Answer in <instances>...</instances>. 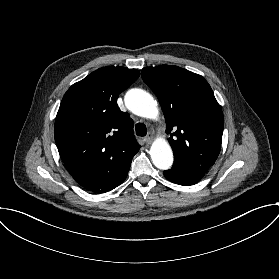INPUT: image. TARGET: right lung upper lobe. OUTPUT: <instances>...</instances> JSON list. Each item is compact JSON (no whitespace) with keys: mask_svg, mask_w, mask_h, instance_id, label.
<instances>
[{"mask_svg":"<svg viewBox=\"0 0 279 279\" xmlns=\"http://www.w3.org/2000/svg\"><path fill=\"white\" fill-rule=\"evenodd\" d=\"M139 75L136 69L100 68L73 84L61 101L55 142L68 172L90 192L120 185L140 148L133 121L117 105L118 95Z\"/></svg>","mask_w":279,"mask_h":279,"instance_id":"right-lung-upper-lobe-1","label":"right lung upper lobe"}]
</instances>
